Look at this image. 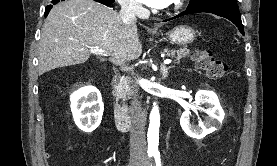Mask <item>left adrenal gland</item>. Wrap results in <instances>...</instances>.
Here are the masks:
<instances>
[{
	"mask_svg": "<svg viewBox=\"0 0 277 166\" xmlns=\"http://www.w3.org/2000/svg\"><path fill=\"white\" fill-rule=\"evenodd\" d=\"M173 66H166V65H162L161 67V73H162V77L163 79H165L168 76V70L171 69Z\"/></svg>",
	"mask_w": 277,
	"mask_h": 166,
	"instance_id": "a2214340",
	"label": "left adrenal gland"
}]
</instances>
